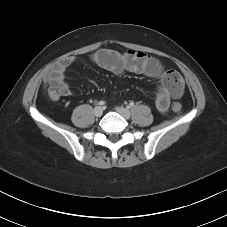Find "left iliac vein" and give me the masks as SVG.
<instances>
[{
  "label": "left iliac vein",
  "mask_w": 227,
  "mask_h": 227,
  "mask_svg": "<svg viewBox=\"0 0 227 227\" xmlns=\"http://www.w3.org/2000/svg\"><path fill=\"white\" fill-rule=\"evenodd\" d=\"M116 111L125 119H129L131 117V113L127 108L116 107Z\"/></svg>",
  "instance_id": "left-iliac-vein-1"
}]
</instances>
